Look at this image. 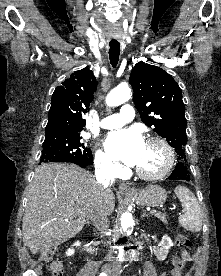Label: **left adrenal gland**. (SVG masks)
I'll return each mask as SVG.
<instances>
[{
    "label": "left adrenal gland",
    "instance_id": "a2214340",
    "mask_svg": "<svg viewBox=\"0 0 221 276\" xmlns=\"http://www.w3.org/2000/svg\"><path fill=\"white\" fill-rule=\"evenodd\" d=\"M146 216H148V215L146 214V211L143 210V214L141 215V218L146 217Z\"/></svg>",
    "mask_w": 221,
    "mask_h": 276
}]
</instances>
